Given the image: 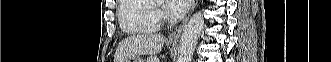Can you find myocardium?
<instances>
[{
	"label": "myocardium",
	"mask_w": 331,
	"mask_h": 62,
	"mask_svg": "<svg viewBox=\"0 0 331 62\" xmlns=\"http://www.w3.org/2000/svg\"><path fill=\"white\" fill-rule=\"evenodd\" d=\"M154 4H155V6L165 8V6L159 1H154Z\"/></svg>",
	"instance_id": "1"
}]
</instances>
